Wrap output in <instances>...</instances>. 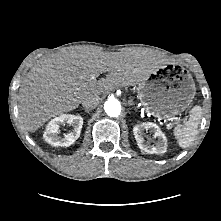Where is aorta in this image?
<instances>
[{
	"instance_id": "762f6f07",
	"label": "aorta",
	"mask_w": 221,
	"mask_h": 221,
	"mask_svg": "<svg viewBox=\"0 0 221 221\" xmlns=\"http://www.w3.org/2000/svg\"><path fill=\"white\" fill-rule=\"evenodd\" d=\"M104 110L110 117H117L121 113V104L115 98H109L104 103Z\"/></svg>"
}]
</instances>
